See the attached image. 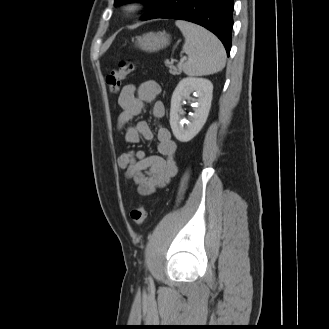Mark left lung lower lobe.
Instances as JSON below:
<instances>
[{"mask_svg": "<svg viewBox=\"0 0 329 329\" xmlns=\"http://www.w3.org/2000/svg\"><path fill=\"white\" fill-rule=\"evenodd\" d=\"M233 0H156L142 20L155 18L186 20L205 27L231 49Z\"/></svg>", "mask_w": 329, "mask_h": 329, "instance_id": "obj_1", "label": "left lung lower lobe"}]
</instances>
